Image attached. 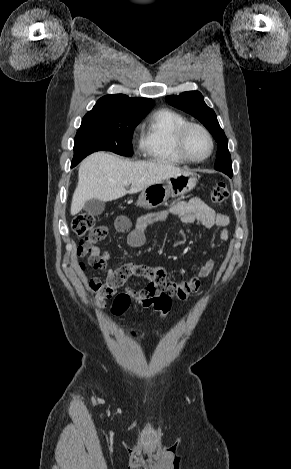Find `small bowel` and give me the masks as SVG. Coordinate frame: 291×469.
Wrapping results in <instances>:
<instances>
[{
  "mask_svg": "<svg viewBox=\"0 0 291 469\" xmlns=\"http://www.w3.org/2000/svg\"><path fill=\"white\" fill-rule=\"evenodd\" d=\"M169 214L176 216L182 224H191L198 222L202 227L210 229L214 226L220 227L219 238L226 241L229 238V218L221 213H217L214 208L199 197H194L188 201H179L175 203L167 212H159L152 216L140 218L134 225L126 216H118L112 227L117 232L127 234V243L130 247L139 248L145 244V226L155 221H163ZM107 232L108 229L106 228ZM186 240L180 235L174 242V247L185 245ZM90 256L99 258L104 264L109 261L110 254L101 250L97 246H92ZM214 269V261L206 260L196 272L187 280L182 282L169 281L166 278V271L161 266L147 267L134 263H126L118 268L106 269V280L102 282L99 278L90 280L92 283H102L103 287L96 291V302L104 306L107 299L114 296L117 288L125 285L128 281L141 279L147 281L145 287L140 290L127 289V296L133 299L136 296H149L150 288H154L156 293H168L171 298L186 300L191 294L198 292L201 286V280L208 277ZM114 312V311H113ZM115 314H121L114 312Z\"/></svg>",
  "mask_w": 291,
  "mask_h": 469,
  "instance_id": "c3829d8e",
  "label": "small bowel"
}]
</instances>
